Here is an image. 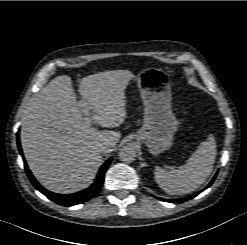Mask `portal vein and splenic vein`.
<instances>
[{"label":"portal vein and splenic vein","instance_id":"18ae733b","mask_svg":"<svg viewBox=\"0 0 247 245\" xmlns=\"http://www.w3.org/2000/svg\"><path fill=\"white\" fill-rule=\"evenodd\" d=\"M80 106L82 107V112L85 116V123L88 126H91V118H90V109L87 106V104L85 103V101H80Z\"/></svg>","mask_w":247,"mask_h":245}]
</instances>
